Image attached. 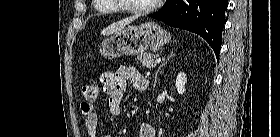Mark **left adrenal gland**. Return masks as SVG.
Segmentation results:
<instances>
[{
    "instance_id": "1",
    "label": "left adrenal gland",
    "mask_w": 280,
    "mask_h": 137,
    "mask_svg": "<svg viewBox=\"0 0 280 137\" xmlns=\"http://www.w3.org/2000/svg\"><path fill=\"white\" fill-rule=\"evenodd\" d=\"M173 56H175V54L171 52V54H170V56L168 57V59H167L162 65H160V67L158 68V70H157V72H156V74H155V84H156V82H157V81H156V79H157V74H158V72L160 71L161 67H163V66L171 59V57H173Z\"/></svg>"
}]
</instances>
